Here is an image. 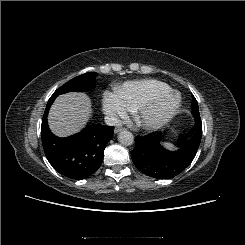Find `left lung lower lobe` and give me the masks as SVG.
Instances as JSON below:
<instances>
[{
	"label": "left lung lower lobe",
	"instance_id": "obj_1",
	"mask_svg": "<svg viewBox=\"0 0 245 245\" xmlns=\"http://www.w3.org/2000/svg\"><path fill=\"white\" fill-rule=\"evenodd\" d=\"M202 129L196 128L194 136L176 152H170L161 145L162 135L150 133L135 138L131 152L135 166L147 176L169 179L181 173L193 160L200 145Z\"/></svg>",
	"mask_w": 245,
	"mask_h": 245
}]
</instances>
